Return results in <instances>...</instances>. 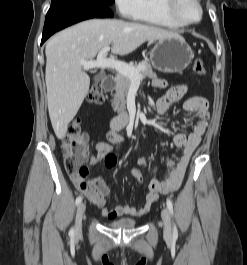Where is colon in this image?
Instances as JSON below:
<instances>
[{
    "instance_id": "obj_1",
    "label": "colon",
    "mask_w": 247,
    "mask_h": 265,
    "mask_svg": "<svg viewBox=\"0 0 247 265\" xmlns=\"http://www.w3.org/2000/svg\"><path fill=\"white\" fill-rule=\"evenodd\" d=\"M193 69L198 75H204L206 72L201 59H196L194 61ZM103 99L101 87H92L88 94V101L94 104H100ZM88 139V134L81 130L79 121H74L69 125L62 140L64 165L69 174L82 177L88 174V168L84 166L88 156Z\"/></svg>"
}]
</instances>
